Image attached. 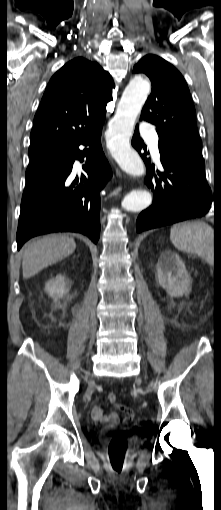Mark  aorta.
<instances>
[{
	"mask_svg": "<svg viewBox=\"0 0 221 510\" xmlns=\"http://www.w3.org/2000/svg\"><path fill=\"white\" fill-rule=\"evenodd\" d=\"M150 93L148 80L135 76L125 88L116 114L110 122L107 146L121 169L132 176H143L145 165L136 151L130 146V137L138 114ZM152 202V196L145 190H133L121 202L127 211L140 212Z\"/></svg>",
	"mask_w": 221,
	"mask_h": 510,
	"instance_id": "762f6f07",
	"label": "aorta"
}]
</instances>
